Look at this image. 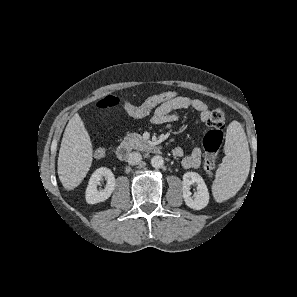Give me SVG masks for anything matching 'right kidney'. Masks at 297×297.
Segmentation results:
<instances>
[{
  "label": "right kidney",
  "mask_w": 297,
  "mask_h": 297,
  "mask_svg": "<svg viewBox=\"0 0 297 297\" xmlns=\"http://www.w3.org/2000/svg\"><path fill=\"white\" fill-rule=\"evenodd\" d=\"M105 177L107 184L103 190H98L97 185L100 184V179ZM116 186V180L112 171L108 168H98L89 179L86 189L85 198L88 204H96L107 200L113 193Z\"/></svg>",
  "instance_id": "1"
}]
</instances>
